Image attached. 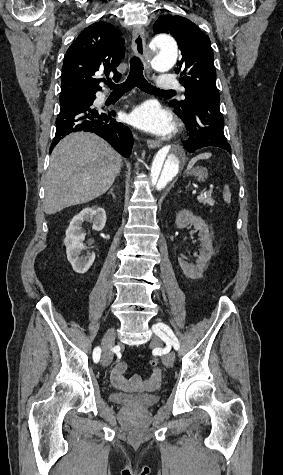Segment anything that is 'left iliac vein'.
Segmentation results:
<instances>
[{"label":"left iliac vein","mask_w":283,"mask_h":475,"mask_svg":"<svg viewBox=\"0 0 283 475\" xmlns=\"http://www.w3.org/2000/svg\"><path fill=\"white\" fill-rule=\"evenodd\" d=\"M154 329H157V331L160 333V335L155 336L153 338L152 342L156 347L162 348L163 347L162 341L160 340L159 337H161V338L162 337L167 338V337H166L165 333L157 326V324L153 326V330ZM174 358H175L174 357V352H170L168 354L163 355L161 359H162V362L165 366L172 367L173 363H174Z\"/></svg>","instance_id":"1"}]
</instances>
